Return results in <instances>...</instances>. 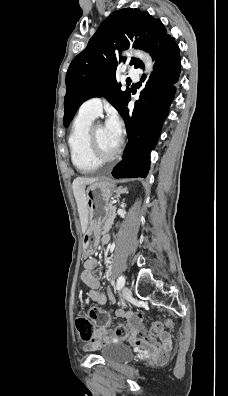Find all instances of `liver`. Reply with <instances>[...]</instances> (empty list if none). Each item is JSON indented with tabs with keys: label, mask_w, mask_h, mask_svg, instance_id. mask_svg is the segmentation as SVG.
I'll use <instances>...</instances> for the list:
<instances>
[{
	"label": "liver",
	"mask_w": 228,
	"mask_h": 396,
	"mask_svg": "<svg viewBox=\"0 0 228 396\" xmlns=\"http://www.w3.org/2000/svg\"><path fill=\"white\" fill-rule=\"evenodd\" d=\"M97 181L96 178L78 177L72 183L73 194L77 203L82 232L85 233L88 226V210L86 203L85 187Z\"/></svg>",
	"instance_id": "1"
}]
</instances>
